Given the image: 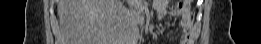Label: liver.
Returning <instances> with one entry per match:
<instances>
[{
	"instance_id": "6515ba94",
	"label": "liver",
	"mask_w": 261,
	"mask_h": 44,
	"mask_svg": "<svg viewBox=\"0 0 261 44\" xmlns=\"http://www.w3.org/2000/svg\"><path fill=\"white\" fill-rule=\"evenodd\" d=\"M128 8L120 0H60L59 22L70 44H117L119 40H136L135 24ZM121 44H133L122 41Z\"/></svg>"
}]
</instances>
